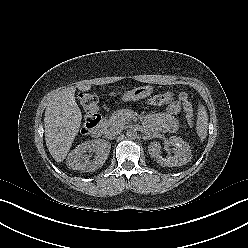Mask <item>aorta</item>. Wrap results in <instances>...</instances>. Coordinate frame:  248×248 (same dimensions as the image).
Wrapping results in <instances>:
<instances>
[{
    "instance_id": "762f6f07",
    "label": "aorta",
    "mask_w": 248,
    "mask_h": 248,
    "mask_svg": "<svg viewBox=\"0 0 248 248\" xmlns=\"http://www.w3.org/2000/svg\"><path fill=\"white\" fill-rule=\"evenodd\" d=\"M126 136L130 139H134L137 137V131L134 127H130L127 132H126Z\"/></svg>"
}]
</instances>
